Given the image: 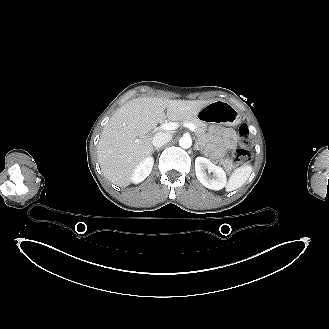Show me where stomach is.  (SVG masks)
I'll return each mask as SVG.
<instances>
[{
    "label": "stomach",
    "instance_id": "obj_1",
    "mask_svg": "<svg viewBox=\"0 0 329 329\" xmlns=\"http://www.w3.org/2000/svg\"><path fill=\"white\" fill-rule=\"evenodd\" d=\"M196 117L205 123L222 122L227 126H236L241 121L239 112L223 100L209 103Z\"/></svg>",
    "mask_w": 329,
    "mask_h": 329
}]
</instances>
